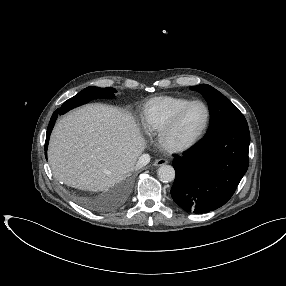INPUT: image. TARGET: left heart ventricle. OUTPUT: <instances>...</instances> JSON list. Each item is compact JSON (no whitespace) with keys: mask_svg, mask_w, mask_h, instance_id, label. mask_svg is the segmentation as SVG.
<instances>
[{"mask_svg":"<svg viewBox=\"0 0 286 286\" xmlns=\"http://www.w3.org/2000/svg\"><path fill=\"white\" fill-rule=\"evenodd\" d=\"M205 122V108L201 104L193 105L170 133L169 142L173 145H183L190 142L202 131Z\"/></svg>","mask_w":286,"mask_h":286,"instance_id":"b2bd125f","label":"left heart ventricle"}]
</instances>
